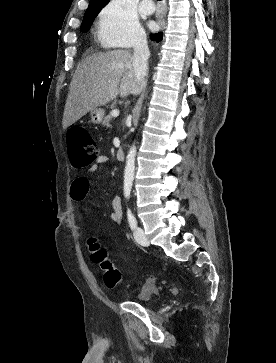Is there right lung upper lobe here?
<instances>
[{
    "label": "right lung upper lobe",
    "instance_id": "obj_1",
    "mask_svg": "<svg viewBox=\"0 0 276 363\" xmlns=\"http://www.w3.org/2000/svg\"><path fill=\"white\" fill-rule=\"evenodd\" d=\"M109 0H90L89 5L91 4H101V5H105Z\"/></svg>",
    "mask_w": 276,
    "mask_h": 363
}]
</instances>
